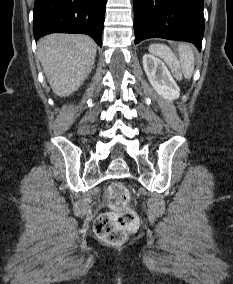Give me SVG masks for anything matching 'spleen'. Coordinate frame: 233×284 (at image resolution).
I'll use <instances>...</instances> for the list:
<instances>
[{
	"instance_id": "obj_1",
	"label": "spleen",
	"mask_w": 233,
	"mask_h": 284,
	"mask_svg": "<svg viewBox=\"0 0 233 284\" xmlns=\"http://www.w3.org/2000/svg\"><path fill=\"white\" fill-rule=\"evenodd\" d=\"M149 51L157 56L162 57L172 68V71L177 74L179 67H173L174 55L169 47L162 44H152L149 47ZM181 71L186 79L192 77L194 71V52L190 46L186 44H180L178 47Z\"/></svg>"
}]
</instances>
